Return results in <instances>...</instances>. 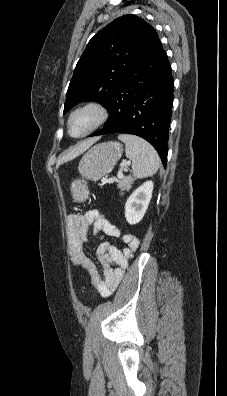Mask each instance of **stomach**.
Wrapping results in <instances>:
<instances>
[{
	"label": "stomach",
	"instance_id": "stomach-1",
	"mask_svg": "<svg viewBox=\"0 0 227 396\" xmlns=\"http://www.w3.org/2000/svg\"><path fill=\"white\" fill-rule=\"evenodd\" d=\"M123 152L122 145L118 142H105L92 147L80 160L78 171L82 179L71 183L73 199L78 202L85 201L89 196L87 180L97 181L110 173Z\"/></svg>",
	"mask_w": 227,
	"mask_h": 396
}]
</instances>
